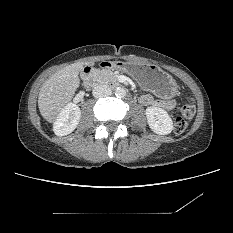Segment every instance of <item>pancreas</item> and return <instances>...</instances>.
<instances>
[{
    "mask_svg": "<svg viewBox=\"0 0 233 233\" xmlns=\"http://www.w3.org/2000/svg\"><path fill=\"white\" fill-rule=\"evenodd\" d=\"M94 76L97 82L100 84H110L117 81V76L108 69H97Z\"/></svg>",
    "mask_w": 233,
    "mask_h": 233,
    "instance_id": "cf45deb5",
    "label": "pancreas"
}]
</instances>
